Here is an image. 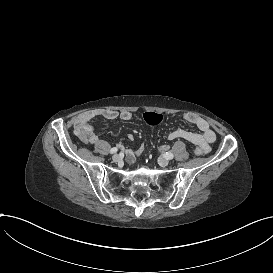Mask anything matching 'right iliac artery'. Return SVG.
<instances>
[{
	"mask_svg": "<svg viewBox=\"0 0 273 273\" xmlns=\"http://www.w3.org/2000/svg\"><path fill=\"white\" fill-rule=\"evenodd\" d=\"M117 151H118V149H117L116 147H114V148H112V149L110 150V153L113 154V153H116Z\"/></svg>",
	"mask_w": 273,
	"mask_h": 273,
	"instance_id": "1",
	"label": "right iliac artery"
}]
</instances>
